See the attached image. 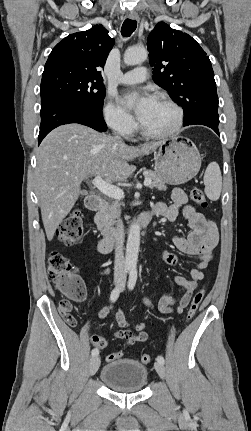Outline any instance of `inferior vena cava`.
<instances>
[{
  "label": "inferior vena cava",
  "mask_w": 251,
  "mask_h": 431,
  "mask_svg": "<svg viewBox=\"0 0 251 431\" xmlns=\"http://www.w3.org/2000/svg\"><path fill=\"white\" fill-rule=\"evenodd\" d=\"M116 139L120 140V137L115 136ZM115 238V262H114V277L115 279H125V259L123 255L124 246V225L122 220L117 223L116 230L114 232Z\"/></svg>",
  "instance_id": "1"
}]
</instances>
